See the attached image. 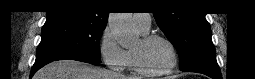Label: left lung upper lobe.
Wrapping results in <instances>:
<instances>
[{"mask_svg":"<svg viewBox=\"0 0 255 79\" xmlns=\"http://www.w3.org/2000/svg\"><path fill=\"white\" fill-rule=\"evenodd\" d=\"M160 9L154 14L160 29L175 46L180 56V68L216 65L211 29L204 13L196 11H167L168 2L156 1Z\"/></svg>","mask_w":255,"mask_h":79,"instance_id":"left-lung-upper-lobe-1","label":"left lung upper lobe"}]
</instances>
